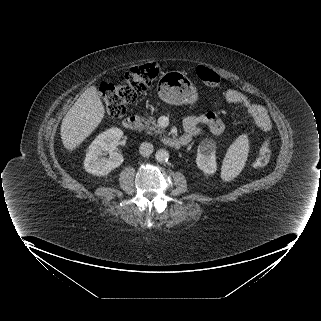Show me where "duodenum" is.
Returning a JSON list of instances; mask_svg holds the SVG:
<instances>
[{
	"label": "duodenum",
	"instance_id": "1",
	"mask_svg": "<svg viewBox=\"0 0 321 321\" xmlns=\"http://www.w3.org/2000/svg\"><path fill=\"white\" fill-rule=\"evenodd\" d=\"M123 126L131 131L139 130L142 126L141 118L138 115H129L123 120ZM184 140L174 137H165L162 143L169 148H179Z\"/></svg>",
	"mask_w": 321,
	"mask_h": 321
}]
</instances>
